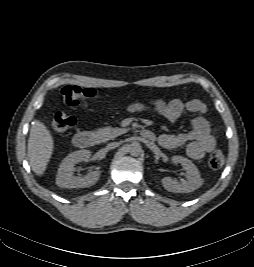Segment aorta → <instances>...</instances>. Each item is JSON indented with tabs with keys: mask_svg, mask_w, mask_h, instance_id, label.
<instances>
[{
	"mask_svg": "<svg viewBox=\"0 0 254 267\" xmlns=\"http://www.w3.org/2000/svg\"><path fill=\"white\" fill-rule=\"evenodd\" d=\"M128 152L131 156L137 157L142 152V147L139 142H132L130 145H128Z\"/></svg>",
	"mask_w": 254,
	"mask_h": 267,
	"instance_id": "1",
	"label": "aorta"
}]
</instances>
